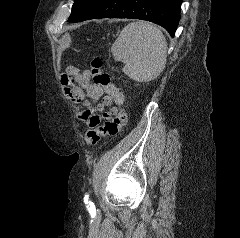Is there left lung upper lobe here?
<instances>
[{
  "instance_id": "5c2ea615",
  "label": "left lung upper lobe",
  "mask_w": 240,
  "mask_h": 238,
  "mask_svg": "<svg viewBox=\"0 0 240 238\" xmlns=\"http://www.w3.org/2000/svg\"><path fill=\"white\" fill-rule=\"evenodd\" d=\"M90 1L91 0H75L68 21L71 22L72 20L78 18L83 13Z\"/></svg>"
}]
</instances>
